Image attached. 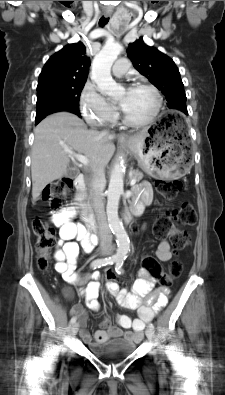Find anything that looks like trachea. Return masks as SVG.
<instances>
[{
  "label": "trachea",
  "mask_w": 225,
  "mask_h": 395,
  "mask_svg": "<svg viewBox=\"0 0 225 395\" xmlns=\"http://www.w3.org/2000/svg\"><path fill=\"white\" fill-rule=\"evenodd\" d=\"M108 22H109V18H105L104 16H102L99 20V25L101 27H104Z\"/></svg>",
  "instance_id": "3493384b"
}]
</instances>
